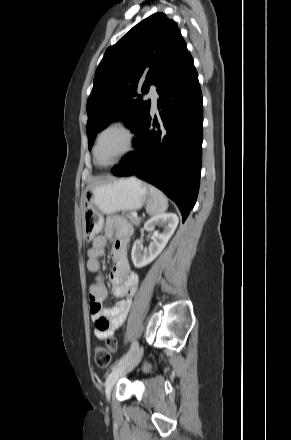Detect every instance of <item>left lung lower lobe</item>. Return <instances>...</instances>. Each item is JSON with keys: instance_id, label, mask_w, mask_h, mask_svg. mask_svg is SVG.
I'll use <instances>...</instances> for the list:
<instances>
[{"instance_id": "1", "label": "left lung lower lobe", "mask_w": 291, "mask_h": 440, "mask_svg": "<svg viewBox=\"0 0 291 440\" xmlns=\"http://www.w3.org/2000/svg\"><path fill=\"white\" fill-rule=\"evenodd\" d=\"M157 92L161 126L155 117L152 128L148 112L132 141L135 151L111 172L135 175L161 189L178 205L184 222L197 199L202 163V94L189 52Z\"/></svg>"}]
</instances>
